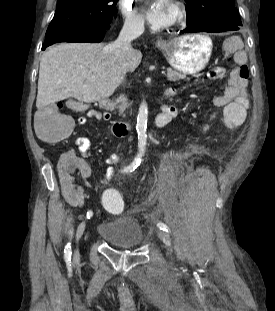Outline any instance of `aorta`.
Segmentation results:
<instances>
[{"label": "aorta", "mask_w": 275, "mask_h": 311, "mask_svg": "<svg viewBox=\"0 0 275 311\" xmlns=\"http://www.w3.org/2000/svg\"><path fill=\"white\" fill-rule=\"evenodd\" d=\"M147 117H148V107L145 101L140 104L139 112L137 116L136 130L138 133V146L139 151L144 152L146 147L147 135Z\"/></svg>", "instance_id": "762f6f07"}]
</instances>
